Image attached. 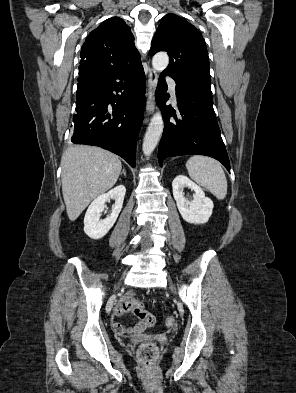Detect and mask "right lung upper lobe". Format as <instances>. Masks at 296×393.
<instances>
[{
	"label": "right lung upper lobe",
	"mask_w": 296,
	"mask_h": 393,
	"mask_svg": "<svg viewBox=\"0 0 296 393\" xmlns=\"http://www.w3.org/2000/svg\"><path fill=\"white\" fill-rule=\"evenodd\" d=\"M80 57L79 67L98 71H120L141 65L131 29L119 17L105 20L87 36Z\"/></svg>",
	"instance_id": "obj_1"
}]
</instances>
